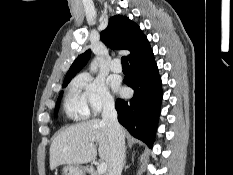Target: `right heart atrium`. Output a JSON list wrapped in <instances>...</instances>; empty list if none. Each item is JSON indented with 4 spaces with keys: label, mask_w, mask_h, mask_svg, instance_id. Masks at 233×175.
I'll return each instance as SVG.
<instances>
[{
    "label": "right heart atrium",
    "mask_w": 233,
    "mask_h": 175,
    "mask_svg": "<svg viewBox=\"0 0 233 175\" xmlns=\"http://www.w3.org/2000/svg\"><path fill=\"white\" fill-rule=\"evenodd\" d=\"M93 115L110 110L115 100L108 86L89 74L79 75L72 83Z\"/></svg>",
    "instance_id": "right-heart-atrium-1"
}]
</instances>
